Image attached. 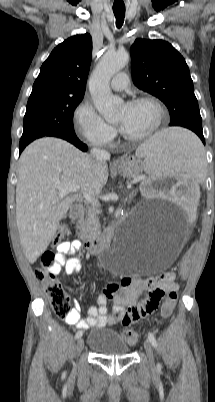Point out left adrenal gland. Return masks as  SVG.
<instances>
[{
	"label": "left adrenal gland",
	"mask_w": 215,
	"mask_h": 402,
	"mask_svg": "<svg viewBox=\"0 0 215 402\" xmlns=\"http://www.w3.org/2000/svg\"><path fill=\"white\" fill-rule=\"evenodd\" d=\"M134 196H135V193L132 192V194L129 195V200H132L134 198Z\"/></svg>",
	"instance_id": "a2214340"
}]
</instances>
